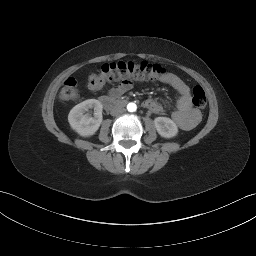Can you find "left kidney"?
<instances>
[{
    "mask_svg": "<svg viewBox=\"0 0 256 256\" xmlns=\"http://www.w3.org/2000/svg\"><path fill=\"white\" fill-rule=\"evenodd\" d=\"M154 125L158 134L164 138L175 137L178 133L176 123L167 117H157L154 119Z\"/></svg>",
    "mask_w": 256,
    "mask_h": 256,
    "instance_id": "1",
    "label": "left kidney"
}]
</instances>
